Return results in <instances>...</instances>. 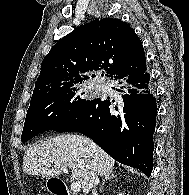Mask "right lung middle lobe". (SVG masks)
I'll return each instance as SVG.
<instances>
[{
  "label": "right lung middle lobe",
  "instance_id": "dd1d6c3e",
  "mask_svg": "<svg viewBox=\"0 0 189 195\" xmlns=\"http://www.w3.org/2000/svg\"><path fill=\"white\" fill-rule=\"evenodd\" d=\"M77 86L66 88L30 103L21 140L26 142L39 133L53 130L90 101Z\"/></svg>",
  "mask_w": 189,
  "mask_h": 195
}]
</instances>
